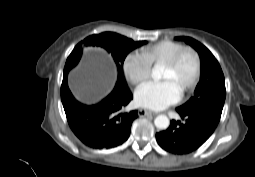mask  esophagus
<instances>
[{"label": "esophagus", "instance_id": "obj_1", "mask_svg": "<svg viewBox=\"0 0 255 177\" xmlns=\"http://www.w3.org/2000/svg\"><path fill=\"white\" fill-rule=\"evenodd\" d=\"M138 115L139 116H150V115H156V113L153 111L147 110V109L140 108L138 110Z\"/></svg>", "mask_w": 255, "mask_h": 177}]
</instances>
